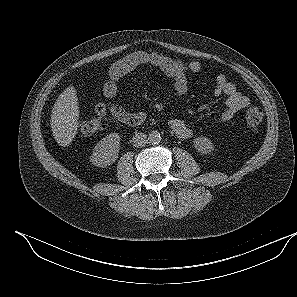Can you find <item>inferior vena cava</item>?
Returning <instances> with one entry per match:
<instances>
[{"mask_svg": "<svg viewBox=\"0 0 297 297\" xmlns=\"http://www.w3.org/2000/svg\"><path fill=\"white\" fill-rule=\"evenodd\" d=\"M148 142L147 135L142 132H137L132 138L133 146L142 147L145 146Z\"/></svg>", "mask_w": 297, "mask_h": 297, "instance_id": "1", "label": "inferior vena cava"}]
</instances>
